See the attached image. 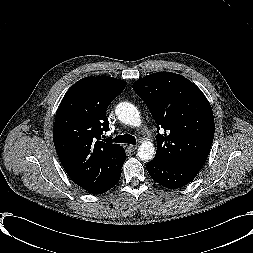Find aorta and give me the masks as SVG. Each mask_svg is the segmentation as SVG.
Instances as JSON below:
<instances>
[{
    "mask_svg": "<svg viewBox=\"0 0 253 253\" xmlns=\"http://www.w3.org/2000/svg\"><path fill=\"white\" fill-rule=\"evenodd\" d=\"M115 113L118 119L130 126H139L141 123L138 109L129 102H121L116 106ZM138 157L142 161H151L155 155V147L149 141L143 142L137 152Z\"/></svg>",
    "mask_w": 253,
    "mask_h": 253,
    "instance_id": "762f6f07",
    "label": "aorta"
}]
</instances>
